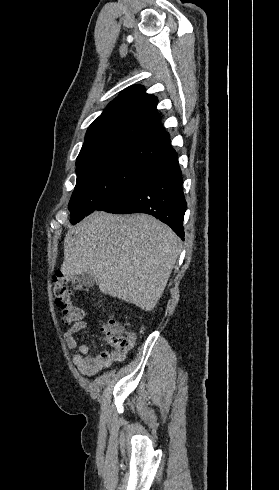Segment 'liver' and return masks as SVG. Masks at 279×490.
I'll list each match as a JSON object with an SVG mask.
<instances>
[{
	"label": "liver",
	"mask_w": 279,
	"mask_h": 490,
	"mask_svg": "<svg viewBox=\"0 0 279 490\" xmlns=\"http://www.w3.org/2000/svg\"><path fill=\"white\" fill-rule=\"evenodd\" d=\"M180 240L153 216L93 212L66 234L65 278L92 274L101 292L156 308L179 256Z\"/></svg>",
	"instance_id": "obj_1"
}]
</instances>
